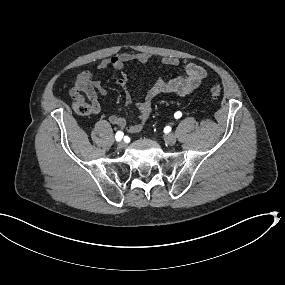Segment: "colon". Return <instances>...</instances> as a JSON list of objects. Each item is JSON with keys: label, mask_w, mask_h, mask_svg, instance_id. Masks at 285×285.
<instances>
[{"label": "colon", "mask_w": 285, "mask_h": 285, "mask_svg": "<svg viewBox=\"0 0 285 285\" xmlns=\"http://www.w3.org/2000/svg\"><path fill=\"white\" fill-rule=\"evenodd\" d=\"M221 92L222 90L219 85H212L210 87V93L215 98L219 97ZM73 108L76 113L82 116H89L94 113L92 105L87 103L85 100H75L73 103Z\"/></svg>", "instance_id": "colon-1"}]
</instances>
